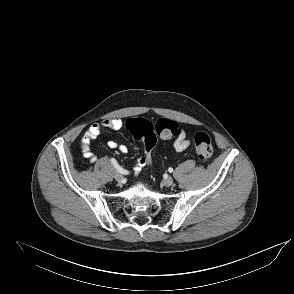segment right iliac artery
Masks as SVG:
<instances>
[{
	"mask_svg": "<svg viewBox=\"0 0 294 294\" xmlns=\"http://www.w3.org/2000/svg\"><path fill=\"white\" fill-rule=\"evenodd\" d=\"M111 163L114 165V167L116 168V170L118 172H120L122 174H128L129 173L127 170L121 168L115 159L112 158Z\"/></svg>",
	"mask_w": 294,
	"mask_h": 294,
	"instance_id": "obj_1",
	"label": "right iliac artery"
}]
</instances>
